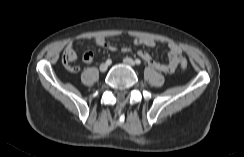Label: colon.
I'll list each match as a JSON object with an SVG mask.
<instances>
[{"label":"colon","instance_id":"obj_1","mask_svg":"<svg viewBox=\"0 0 244 157\" xmlns=\"http://www.w3.org/2000/svg\"><path fill=\"white\" fill-rule=\"evenodd\" d=\"M76 55L75 53H63L62 62L65 68L71 72H75L78 70V66L75 64ZM188 62L185 58H182L180 61V66L182 68H186Z\"/></svg>","mask_w":244,"mask_h":157}]
</instances>
